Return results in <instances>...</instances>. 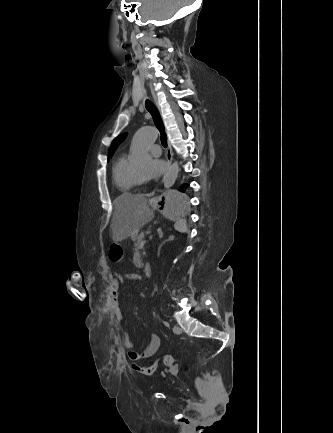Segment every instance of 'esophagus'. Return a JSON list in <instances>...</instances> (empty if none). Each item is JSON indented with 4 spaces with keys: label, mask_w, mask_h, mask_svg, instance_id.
Listing matches in <instances>:
<instances>
[{
    "label": "esophagus",
    "mask_w": 333,
    "mask_h": 433,
    "mask_svg": "<svg viewBox=\"0 0 333 433\" xmlns=\"http://www.w3.org/2000/svg\"><path fill=\"white\" fill-rule=\"evenodd\" d=\"M173 159L172 147L169 139L167 140V151H166V160H167V169L170 168Z\"/></svg>",
    "instance_id": "obj_1"
}]
</instances>
